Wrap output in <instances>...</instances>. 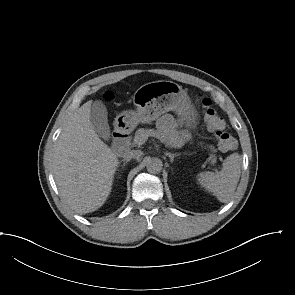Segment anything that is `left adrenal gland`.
Instances as JSON below:
<instances>
[{
  "label": "left adrenal gland",
  "instance_id": "left-adrenal-gland-1",
  "mask_svg": "<svg viewBox=\"0 0 295 295\" xmlns=\"http://www.w3.org/2000/svg\"><path fill=\"white\" fill-rule=\"evenodd\" d=\"M166 155L170 158L171 163H173L175 157L179 156V154H172L169 152H167Z\"/></svg>",
  "mask_w": 295,
  "mask_h": 295
}]
</instances>
